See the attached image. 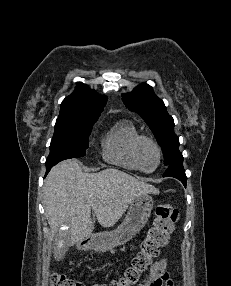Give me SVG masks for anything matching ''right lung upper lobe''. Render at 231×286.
Returning <instances> with one entry per match:
<instances>
[{
  "label": "right lung upper lobe",
  "instance_id": "right-lung-upper-lobe-1",
  "mask_svg": "<svg viewBox=\"0 0 231 286\" xmlns=\"http://www.w3.org/2000/svg\"><path fill=\"white\" fill-rule=\"evenodd\" d=\"M107 101L86 85L78 83L75 91L66 97L60 108V114H100Z\"/></svg>",
  "mask_w": 231,
  "mask_h": 286
}]
</instances>
